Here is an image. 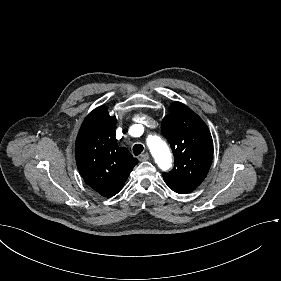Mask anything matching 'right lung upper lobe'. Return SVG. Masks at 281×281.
<instances>
[{
    "label": "right lung upper lobe",
    "instance_id": "right-lung-upper-lobe-1",
    "mask_svg": "<svg viewBox=\"0 0 281 281\" xmlns=\"http://www.w3.org/2000/svg\"><path fill=\"white\" fill-rule=\"evenodd\" d=\"M116 118L105 106L94 109L84 120L77 136V168L86 183L102 196L117 194L138 160L115 137Z\"/></svg>",
    "mask_w": 281,
    "mask_h": 281
}]
</instances>
